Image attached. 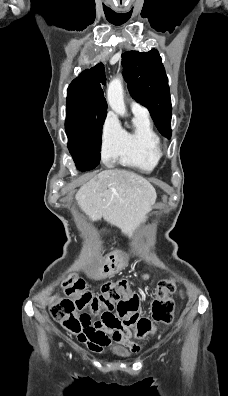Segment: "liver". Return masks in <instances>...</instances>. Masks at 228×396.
<instances>
[{"instance_id": "liver-1", "label": "liver", "mask_w": 228, "mask_h": 396, "mask_svg": "<svg viewBox=\"0 0 228 396\" xmlns=\"http://www.w3.org/2000/svg\"><path fill=\"white\" fill-rule=\"evenodd\" d=\"M80 208L93 221L102 217L133 230L147 219L157 195L145 178L125 170H104L76 193Z\"/></svg>"}]
</instances>
